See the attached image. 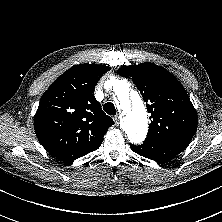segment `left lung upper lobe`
<instances>
[{"label": "left lung upper lobe", "mask_w": 222, "mask_h": 222, "mask_svg": "<svg viewBox=\"0 0 222 222\" xmlns=\"http://www.w3.org/2000/svg\"><path fill=\"white\" fill-rule=\"evenodd\" d=\"M120 76L131 78L151 114L147 141L189 143L198 117L185 88L166 69L146 62L118 69Z\"/></svg>", "instance_id": "1"}]
</instances>
